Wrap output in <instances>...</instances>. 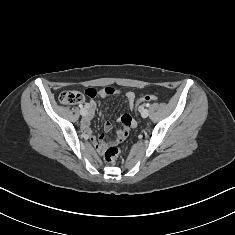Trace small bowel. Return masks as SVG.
<instances>
[{
	"instance_id": "1",
	"label": "small bowel",
	"mask_w": 235,
	"mask_h": 235,
	"mask_svg": "<svg viewBox=\"0 0 235 235\" xmlns=\"http://www.w3.org/2000/svg\"><path fill=\"white\" fill-rule=\"evenodd\" d=\"M116 90L111 88V94H115ZM136 101V94L133 91H128L125 96V102L128 104L130 109L132 110L134 108V104ZM85 108L87 109L89 115L87 119H84L82 121V128L85 130L87 134H90V129H89V118L93 115L95 109H96V104L94 101H89L85 104ZM112 127V124L110 122H106L104 125L105 130H110ZM92 140L95 142L96 145H100L102 138L100 137L98 140L92 137Z\"/></svg>"
}]
</instances>
